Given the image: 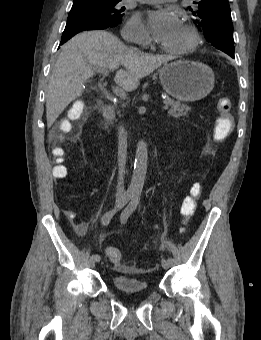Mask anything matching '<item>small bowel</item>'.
<instances>
[{"instance_id":"c3829d8e","label":"small bowel","mask_w":261,"mask_h":340,"mask_svg":"<svg viewBox=\"0 0 261 340\" xmlns=\"http://www.w3.org/2000/svg\"><path fill=\"white\" fill-rule=\"evenodd\" d=\"M88 227V222L85 220H79L74 223L75 231L78 235H84ZM118 270H122V267H117Z\"/></svg>"}]
</instances>
